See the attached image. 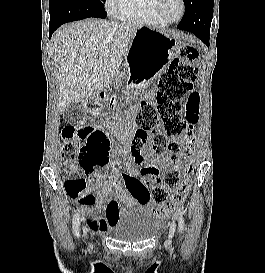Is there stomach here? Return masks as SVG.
Instances as JSON below:
<instances>
[{
  "label": "stomach",
  "instance_id": "stomach-1",
  "mask_svg": "<svg viewBox=\"0 0 265 273\" xmlns=\"http://www.w3.org/2000/svg\"><path fill=\"white\" fill-rule=\"evenodd\" d=\"M176 47L175 38L166 30L146 26L137 30L125 55V66L130 71L128 78L139 80H126L128 89L140 90L143 81L165 73L166 63L173 58Z\"/></svg>",
  "mask_w": 265,
  "mask_h": 273
}]
</instances>
